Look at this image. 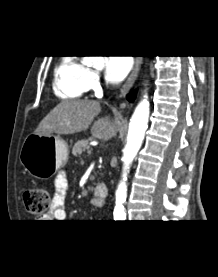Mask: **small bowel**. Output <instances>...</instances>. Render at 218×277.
<instances>
[{
  "mask_svg": "<svg viewBox=\"0 0 218 277\" xmlns=\"http://www.w3.org/2000/svg\"><path fill=\"white\" fill-rule=\"evenodd\" d=\"M68 180L65 172H59L54 180V195L51 210L43 216V220L63 222L66 219V193Z\"/></svg>",
  "mask_w": 218,
  "mask_h": 277,
  "instance_id": "small-bowel-1",
  "label": "small bowel"
}]
</instances>
